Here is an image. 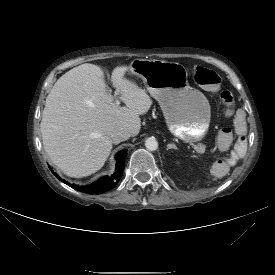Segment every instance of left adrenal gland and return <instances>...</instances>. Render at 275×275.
Here are the masks:
<instances>
[{
	"mask_svg": "<svg viewBox=\"0 0 275 275\" xmlns=\"http://www.w3.org/2000/svg\"><path fill=\"white\" fill-rule=\"evenodd\" d=\"M167 149H177V147L174 144H168Z\"/></svg>",
	"mask_w": 275,
	"mask_h": 275,
	"instance_id": "left-adrenal-gland-1",
	"label": "left adrenal gland"
}]
</instances>
